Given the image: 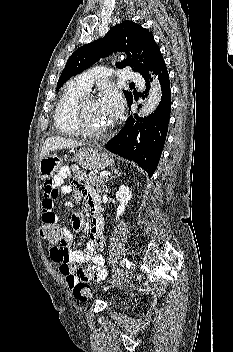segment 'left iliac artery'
Returning <instances> with one entry per match:
<instances>
[{"label": "left iliac artery", "instance_id": "1", "mask_svg": "<svg viewBox=\"0 0 233 352\" xmlns=\"http://www.w3.org/2000/svg\"><path fill=\"white\" fill-rule=\"evenodd\" d=\"M125 265L128 267V266H129V261L124 258V259L121 261V266L124 267Z\"/></svg>", "mask_w": 233, "mask_h": 352}]
</instances>
